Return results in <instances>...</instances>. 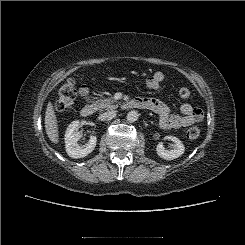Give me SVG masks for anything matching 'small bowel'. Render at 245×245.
I'll use <instances>...</instances> for the list:
<instances>
[{
	"label": "small bowel",
	"mask_w": 245,
	"mask_h": 245,
	"mask_svg": "<svg viewBox=\"0 0 245 245\" xmlns=\"http://www.w3.org/2000/svg\"><path fill=\"white\" fill-rule=\"evenodd\" d=\"M165 76L162 72L157 71L147 78V86L153 90H159L164 82ZM83 98L89 97V91L85 87L81 90ZM148 110H151L159 115L160 127L164 130L178 129L199 122L203 119L204 112L201 108L192 106L189 103H184L180 107L181 115L172 114L166 103L154 98H139ZM144 108V107H142Z\"/></svg>",
	"instance_id": "1"
}]
</instances>
